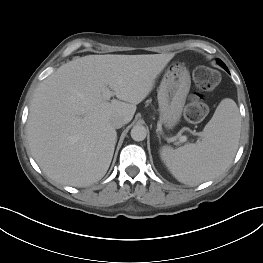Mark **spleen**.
<instances>
[{
	"label": "spleen",
	"instance_id": "1",
	"mask_svg": "<svg viewBox=\"0 0 263 263\" xmlns=\"http://www.w3.org/2000/svg\"><path fill=\"white\" fill-rule=\"evenodd\" d=\"M240 129L236 103L223 99L206 124L201 141L177 149L163 146L160 157L179 182L197 185L227 169L238 149Z\"/></svg>",
	"mask_w": 263,
	"mask_h": 263
}]
</instances>
